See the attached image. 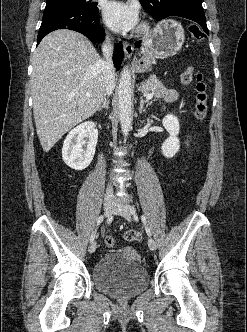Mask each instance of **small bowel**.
Returning a JSON list of instances; mask_svg holds the SVG:
<instances>
[{
    "mask_svg": "<svg viewBox=\"0 0 247 332\" xmlns=\"http://www.w3.org/2000/svg\"><path fill=\"white\" fill-rule=\"evenodd\" d=\"M176 100V93L172 90L168 91L165 95V101L166 102H173ZM188 139L185 141V145L188 146Z\"/></svg>",
    "mask_w": 247,
    "mask_h": 332,
    "instance_id": "c3829d8e",
    "label": "small bowel"
}]
</instances>
